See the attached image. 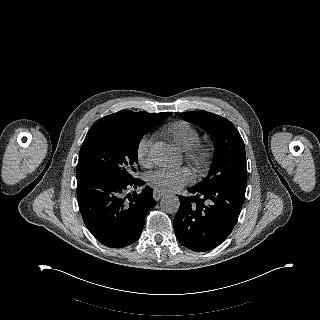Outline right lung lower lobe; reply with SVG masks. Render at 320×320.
Instances as JSON below:
<instances>
[{"instance_id": "right-lung-lower-lobe-1", "label": "right lung lower lobe", "mask_w": 320, "mask_h": 320, "mask_svg": "<svg viewBox=\"0 0 320 320\" xmlns=\"http://www.w3.org/2000/svg\"><path fill=\"white\" fill-rule=\"evenodd\" d=\"M140 179L123 180L98 169L77 171V199L85 225L105 246L122 248L142 233L144 219L156 204L153 189L129 191L143 185Z\"/></svg>"}]
</instances>
